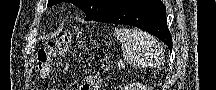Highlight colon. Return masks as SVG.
Here are the masks:
<instances>
[{"label":"colon","mask_w":216,"mask_h":90,"mask_svg":"<svg viewBox=\"0 0 216 90\" xmlns=\"http://www.w3.org/2000/svg\"><path fill=\"white\" fill-rule=\"evenodd\" d=\"M70 44L68 34H63L54 40H50L39 48L37 52L38 78L44 80L49 77L53 59L64 52Z\"/></svg>","instance_id":"1"}]
</instances>
